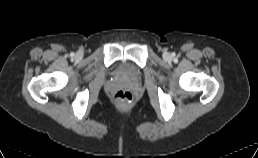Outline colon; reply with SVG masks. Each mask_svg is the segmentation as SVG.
Here are the masks:
<instances>
[{"instance_id": "1", "label": "colon", "mask_w": 258, "mask_h": 158, "mask_svg": "<svg viewBox=\"0 0 258 158\" xmlns=\"http://www.w3.org/2000/svg\"><path fill=\"white\" fill-rule=\"evenodd\" d=\"M115 99L121 101L123 103H131L133 100V96L129 91L120 90L116 92Z\"/></svg>"}]
</instances>
